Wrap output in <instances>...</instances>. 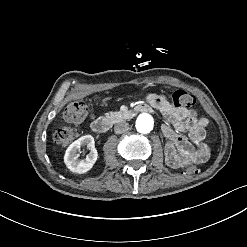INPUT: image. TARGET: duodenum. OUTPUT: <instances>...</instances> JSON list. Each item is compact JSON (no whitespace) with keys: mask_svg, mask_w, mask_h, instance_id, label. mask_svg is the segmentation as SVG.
I'll list each match as a JSON object with an SVG mask.
<instances>
[{"mask_svg":"<svg viewBox=\"0 0 247 247\" xmlns=\"http://www.w3.org/2000/svg\"><path fill=\"white\" fill-rule=\"evenodd\" d=\"M138 111H150V107L145 104H139L133 107L132 109H130L127 112V115L128 117H131L133 113L138 112ZM90 126H91L92 131H94L95 133L102 134V133L107 132L110 129L111 122L107 118H96L91 122Z\"/></svg>","mask_w":247,"mask_h":247,"instance_id":"obj_1","label":"duodenum"}]
</instances>
